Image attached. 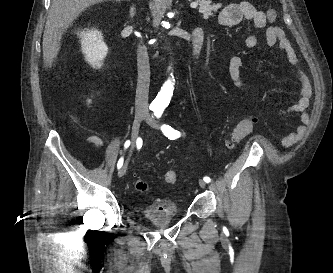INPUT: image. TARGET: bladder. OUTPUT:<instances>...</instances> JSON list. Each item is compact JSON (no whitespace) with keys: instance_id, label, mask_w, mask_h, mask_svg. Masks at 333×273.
<instances>
[{"instance_id":"1","label":"bladder","mask_w":333,"mask_h":273,"mask_svg":"<svg viewBox=\"0 0 333 273\" xmlns=\"http://www.w3.org/2000/svg\"><path fill=\"white\" fill-rule=\"evenodd\" d=\"M180 216V211L171 200H159L142 207L140 217L154 226H166Z\"/></svg>"}]
</instances>
